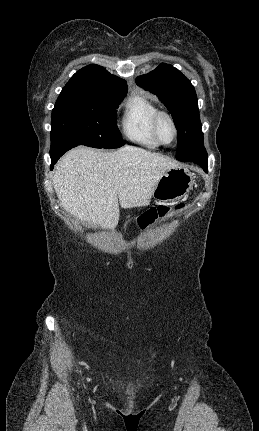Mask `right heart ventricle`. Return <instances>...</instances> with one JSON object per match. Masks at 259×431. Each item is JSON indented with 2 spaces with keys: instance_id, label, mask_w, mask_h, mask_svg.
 Returning <instances> with one entry per match:
<instances>
[{
  "instance_id": "obj_1",
  "label": "right heart ventricle",
  "mask_w": 259,
  "mask_h": 431,
  "mask_svg": "<svg viewBox=\"0 0 259 431\" xmlns=\"http://www.w3.org/2000/svg\"><path fill=\"white\" fill-rule=\"evenodd\" d=\"M158 111L156 104L148 97L135 95L125 104L120 126L123 135L131 142L156 148L160 144L152 132V119Z\"/></svg>"
}]
</instances>
